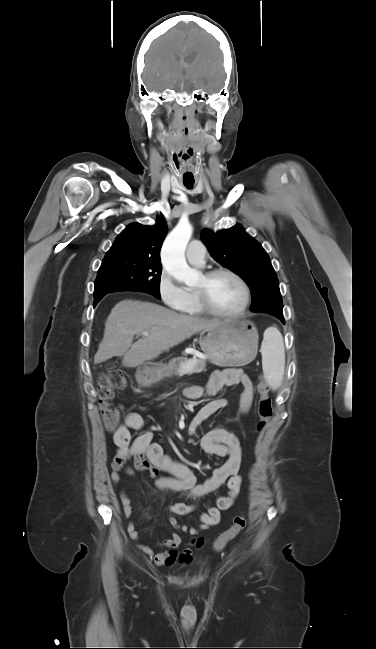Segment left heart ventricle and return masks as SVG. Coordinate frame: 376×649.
Returning <instances> with one entry per match:
<instances>
[{"label":"left heart ventricle","instance_id":"b2bd125f","mask_svg":"<svg viewBox=\"0 0 376 649\" xmlns=\"http://www.w3.org/2000/svg\"><path fill=\"white\" fill-rule=\"evenodd\" d=\"M206 286L210 303L224 312L236 311L242 304L243 291L239 283L230 275L220 274L205 283L200 278L196 288Z\"/></svg>","mask_w":376,"mask_h":649}]
</instances>
